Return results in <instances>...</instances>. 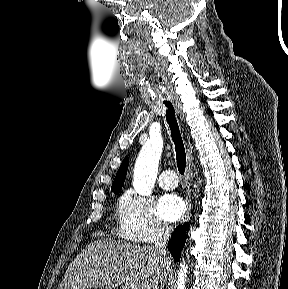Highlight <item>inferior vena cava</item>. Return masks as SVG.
I'll list each match as a JSON object with an SVG mask.
<instances>
[{
    "label": "inferior vena cava",
    "mask_w": 288,
    "mask_h": 289,
    "mask_svg": "<svg viewBox=\"0 0 288 289\" xmlns=\"http://www.w3.org/2000/svg\"><path fill=\"white\" fill-rule=\"evenodd\" d=\"M171 233H172V228L169 225L167 224L161 225L160 230L158 232L157 239L155 241V245L153 247V250L156 253H158L160 256H162L165 261L168 260L167 242L169 240Z\"/></svg>",
    "instance_id": "602c4592"
}]
</instances>
